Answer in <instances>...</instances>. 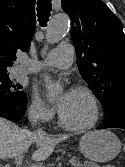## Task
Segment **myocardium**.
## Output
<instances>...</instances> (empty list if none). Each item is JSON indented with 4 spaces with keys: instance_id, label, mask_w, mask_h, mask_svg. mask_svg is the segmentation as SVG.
<instances>
[{
    "instance_id": "myocardium-1",
    "label": "myocardium",
    "mask_w": 125,
    "mask_h": 167,
    "mask_svg": "<svg viewBox=\"0 0 125 167\" xmlns=\"http://www.w3.org/2000/svg\"><path fill=\"white\" fill-rule=\"evenodd\" d=\"M72 91L83 93L90 99L92 106H93V110H94L93 117H92L91 121L84 126H73V125L67 123L65 121V119L63 118V116L61 115V113H59V124L64 129L71 131V132H76V133L85 132V131L93 128L99 119V116H100L99 101H98L96 95L94 94V92L90 88H88L84 85H76L73 87Z\"/></svg>"
}]
</instances>
